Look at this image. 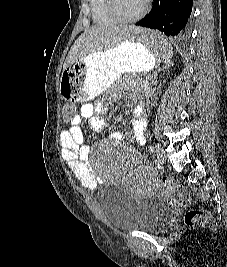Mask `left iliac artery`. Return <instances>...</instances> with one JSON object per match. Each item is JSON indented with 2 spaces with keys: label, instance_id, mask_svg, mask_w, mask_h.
Returning <instances> with one entry per match:
<instances>
[{
  "label": "left iliac artery",
  "instance_id": "1",
  "mask_svg": "<svg viewBox=\"0 0 227 267\" xmlns=\"http://www.w3.org/2000/svg\"><path fill=\"white\" fill-rule=\"evenodd\" d=\"M155 150V147L154 146H151V151L153 152Z\"/></svg>",
  "mask_w": 227,
  "mask_h": 267
}]
</instances>
